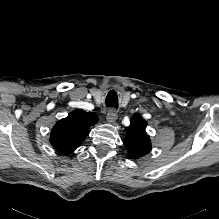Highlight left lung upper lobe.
I'll return each mask as SVG.
<instances>
[{
	"instance_id": "left-lung-upper-lobe-1",
	"label": "left lung upper lobe",
	"mask_w": 219,
	"mask_h": 219,
	"mask_svg": "<svg viewBox=\"0 0 219 219\" xmlns=\"http://www.w3.org/2000/svg\"><path fill=\"white\" fill-rule=\"evenodd\" d=\"M146 126L147 122L140 114L133 115L124 140V145L131 158L142 157L151 151V140L145 131Z\"/></svg>"
}]
</instances>
